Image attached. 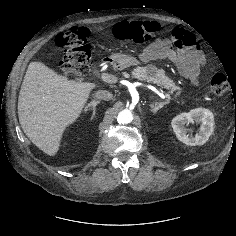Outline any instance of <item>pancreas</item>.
Masks as SVG:
<instances>
[{"label": "pancreas", "mask_w": 236, "mask_h": 236, "mask_svg": "<svg viewBox=\"0 0 236 236\" xmlns=\"http://www.w3.org/2000/svg\"><path fill=\"white\" fill-rule=\"evenodd\" d=\"M132 77L140 81L156 84L166 89L170 94H174L175 98L179 97L182 93L181 87L177 86L173 80L165 74L163 69H158L152 64L133 69Z\"/></svg>", "instance_id": "1"}]
</instances>
